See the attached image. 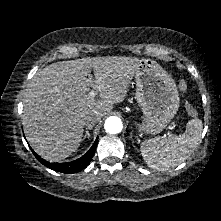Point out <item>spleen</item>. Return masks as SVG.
<instances>
[{"label":"spleen","mask_w":221,"mask_h":221,"mask_svg":"<svg viewBox=\"0 0 221 221\" xmlns=\"http://www.w3.org/2000/svg\"><path fill=\"white\" fill-rule=\"evenodd\" d=\"M202 126V120L192 119L181 136L156 137L144 141L141 154L148 167L166 171L184 162L198 145Z\"/></svg>","instance_id":"1"}]
</instances>
